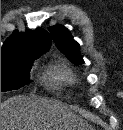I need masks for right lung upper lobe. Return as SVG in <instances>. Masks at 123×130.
Masks as SVG:
<instances>
[{
    "label": "right lung upper lobe",
    "instance_id": "cb5924a9",
    "mask_svg": "<svg viewBox=\"0 0 123 130\" xmlns=\"http://www.w3.org/2000/svg\"><path fill=\"white\" fill-rule=\"evenodd\" d=\"M51 45V37L42 28L26 30L24 33L14 31L1 47V60H8L21 55H41Z\"/></svg>",
    "mask_w": 123,
    "mask_h": 130
}]
</instances>
